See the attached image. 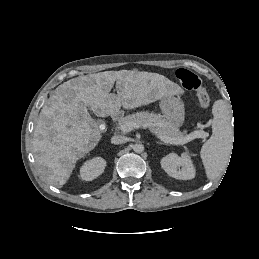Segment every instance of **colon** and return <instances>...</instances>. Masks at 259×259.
<instances>
[{
	"label": "colon",
	"instance_id": "5ec220e1",
	"mask_svg": "<svg viewBox=\"0 0 259 259\" xmlns=\"http://www.w3.org/2000/svg\"><path fill=\"white\" fill-rule=\"evenodd\" d=\"M176 77L184 88L196 93L201 108L206 109L209 107L210 96L202 84V81L195 73L188 69L181 68L177 70Z\"/></svg>",
	"mask_w": 259,
	"mask_h": 259
}]
</instances>
